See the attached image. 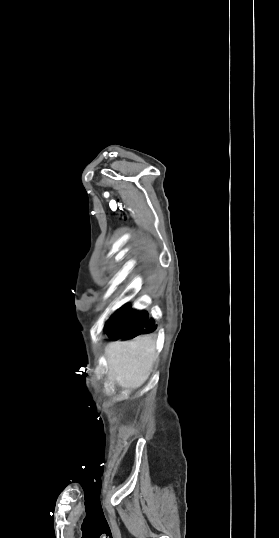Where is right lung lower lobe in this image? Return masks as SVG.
<instances>
[{"label":"right lung lower lobe","mask_w":279,"mask_h":538,"mask_svg":"<svg viewBox=\"0 0 279 538\" xmlns=\"http://www.w3.org/2000/svg\"><path fill=\"white\" fill-rule=\"evenodd\" d=\"M124 306L106 322L105 331L110 339H130L156 330L155 321L146 312H138Z\"/></svg>","instance_id":"98d812e1"}]
</instances>
